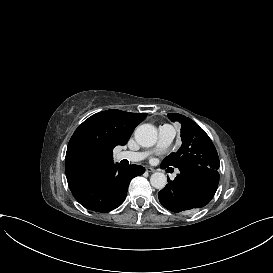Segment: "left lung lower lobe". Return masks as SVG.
<instances>
[{"mask_svg":"<svg viewBox=\"0 0 273 273\" xmlns=\"http://www.w3.org/2000/svg\"><path fill=\"white\" fill-rule=\"evenodd\" d=\"M162 168H167L161 164ZM180 174L158 192L160 203L168 210L179 213L207 205L219 183L218 170L206 166L178 168Z\"/></svg>","mask_w":273,"mask_h":273,"instance_id":"0a47b994","label":"left lung lower lobe"}]
</instances>
